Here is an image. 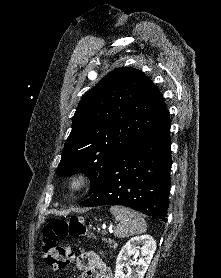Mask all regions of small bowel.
Wrapping results in <instances>:
<instances>
[{
	"mask_svg": "<svg viewBox=\"0 0 221 278\" xmlns=\"http://www.w3.org/2000/svg\"><path fill=\"white\" fill-rule=\"evenodd\" d=\"M77 267L82 271L80 278H112V272L105 261L95 252L79 254Z\"/></svg>",
	"mask_w": 221,
	"mask_h": 278,
	"instance_id": "1",
	"label": "small bowel"
}]
</instances>
